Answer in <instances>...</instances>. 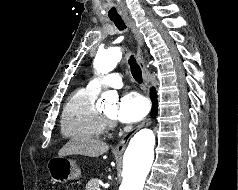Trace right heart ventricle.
<instances>
[{
    "instance_id": "e07e8e85",
    "label": "right heart ventricle",
    "mask_w": 238,
    "mask_h": 190,
    "mask_svg": "<svg viewBox=\"0 0 238 190\" xmlns=\"http://www.w3.org/2000/svg\"><path fill=\"white\" fill-rule=\"evenodd\" d=\"M97 95L98 91L87 86L77 89L69 97L61 116L64 136L92 139L103 135L106 127L95 105Z\"/></svg>"
}]
</instances>
